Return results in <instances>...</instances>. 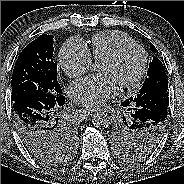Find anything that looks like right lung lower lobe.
Returning <instances> with one entry per match:
<instances>
[{
  "label": "right lung lower lobe",
  "instance_id": "98d812e1",
  "mask_svg": "<svg viewBox=\"0 0 184 184\" xmlns=\"http://www.w3.org/2000/svg\"><path fill=\"white\" fill-rule=\"evenodd\" d=\"M64 104L62 90L48 102L32 98L12 102L17 131L29 151L49 144L56 138L57 128L67 125L61 112Z\"/></svg>",
  "mask_w": 184,
  "mask_h": 184
}]
</instances>
